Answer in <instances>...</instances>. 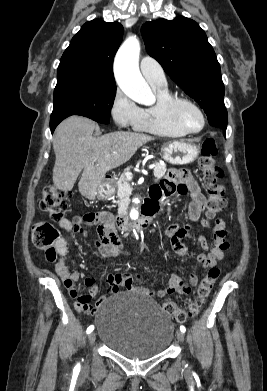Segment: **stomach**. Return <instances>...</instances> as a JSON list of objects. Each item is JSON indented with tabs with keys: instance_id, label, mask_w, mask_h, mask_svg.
I'll return each instance as SVG.
<instances>
[{
	"instance_id": "1",
	"label": "stomach",
	"mask_w": 267,
	"mask_h": 391,
	"mask_svg": "<svg viewBox=\"0 0 267 391\" xmlns=\"http://www.w3.org/2000/svg\"><path fill=\"white\" fill-rule=\"evenodd\" d=\"M162 158L174 165L192 163L199 155V148L191 142H173L161 147ZM115 187L112 183L103 182L96 189L95 196L98 199H106L113 195Z\"/></svg>"
}]
</instances>
